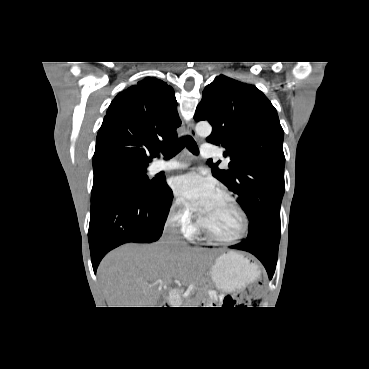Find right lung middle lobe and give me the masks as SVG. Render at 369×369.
<instances>
[{"instance_id":"obj_1","label":"right lung middle lobe","mask_w":369,"mask_h":369,"mask_svg":"<svg viewBox=\"0 0 369 369\" xmlns=\"http://www.w3.org/2000/svg\"><path fill=\"white\" fill-rule=\"evenodd\" d=\"M148 165L128 161H113L93 165L94 181L91 200L116 185H129L144 192L155 191L162 182L146 175Z\"/></svg>"}]
</instances>
